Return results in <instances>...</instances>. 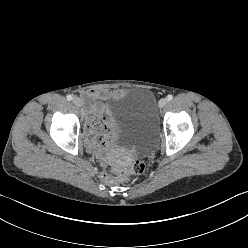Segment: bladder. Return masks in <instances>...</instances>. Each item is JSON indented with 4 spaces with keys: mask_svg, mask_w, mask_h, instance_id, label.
<instances>
[{
    "mask_svg": "<svg viewBox=\"0 0 248 248\" xmlns=\"http://www.w3.org/2000/svg\"><path fill=\"white\" fill-rule=\"evenodd\" d=\"M154 103L150 90L137 88L121 94L108 104L115 145L139 154L153 150L158 138Z\"/></svg>",
    "mask_w": 248,
    "mask_h": 248,
    "instance_id": "obj_1",
    "label": "bladder"
}]
</instances>
